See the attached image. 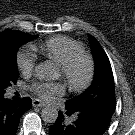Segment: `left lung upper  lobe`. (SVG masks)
I'll return each instance as SVG.
<instances>
[{"label": "left lung upper lobe", "mask_w": 135, "mask_h": 135, "mask_svg": "<svg viewBox=\"0 0 135 135\" xmlns=\"http://www.w3.org/2000/svg\"><path fill=\"white\" fill-rule=\"evenodd\" d=\"M95 60V75L92 85L81 95L66 102L70 108L105 106L115 110L114 78L109 59L98 41L90 36Z\"/></svg>", "instance_id": "1"}]
</instances>
